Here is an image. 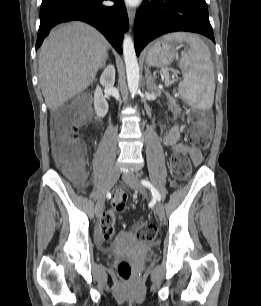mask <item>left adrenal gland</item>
Segmentation results:
<instances>
[{"label": "left adrenal gland", "mask_w": 261, "mask_h": 306, "mask_svg": "<svg viewBox=\"0 0 261 306\" xmlns=\"http://www.w3.org/2000/svg\"><path fill=\"white\" fill-rule=\"evenodd\" d=\"M145 78H146V88L148 90H151L154 84V79L148 68H145Z\"/></svg>", "instance_id": "a2214340"}]
</instances>
